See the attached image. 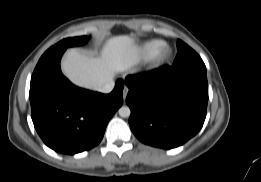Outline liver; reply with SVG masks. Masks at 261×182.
<instances>
[{"label":"liver","instance_id":"6515ba94","mask_svg":"<svg viewBox=\"0 0 261 182\" xmlns=\"http://www.w3.org/2000/svg\"><path fill=\"white\" fill-rule=\"evenodd\" d=\"M137 60L135 41L127 35H120L106 41L100 57L68 50L62 60V70L74 84L97 90L117 73L129 70Z\"/></svg>","mask_w":261,"mask_h":182}]
</instances>
